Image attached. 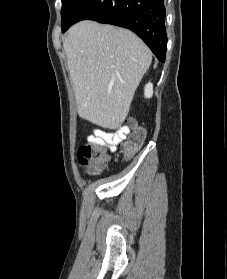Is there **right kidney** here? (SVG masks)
I'll return each instance as SVG.
<instances>
[{
	"label": "right kidney",
	"instance_id": "obj_1",
	"mask_svg": "<svg viewBox=\"0 0 227 279\" xmlns=\"http://www.w3.org/2000/svg\"><path fill=\"white\" fill-rule=\"evenodd\" d=\"M144 95H145L146 98H151L152 97V95H153V85H152V83L146 84L145 89H144Z\"/></svg>",
	"mask_w": 227,
	"mask_h": 279
}]
</instances>
